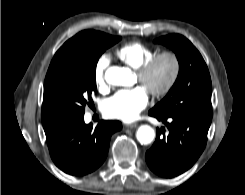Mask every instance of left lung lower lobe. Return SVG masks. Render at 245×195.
Instances as JSON below:
<instances>
[{
  "instance_id": "left-lung-lower-lobe-1",
  "label": "left lung lower lobe",
  "mask_w": 245,
  "mask_h": 195,
  "mask_svg": "<svg viewBox=\"0 0 245 195\" xmlns=\"http://www.w3.org/2000/svg\"><path fill=\"white\" fill-rule=\"evenodd\" d=\"M149 115L165 123V129H157L153 146L146 152L149 168L159 176L172 178L187 171L203 152L212 117L171 113ZM169 121V122H168Z\"/></svg>"
}]
</instances>
